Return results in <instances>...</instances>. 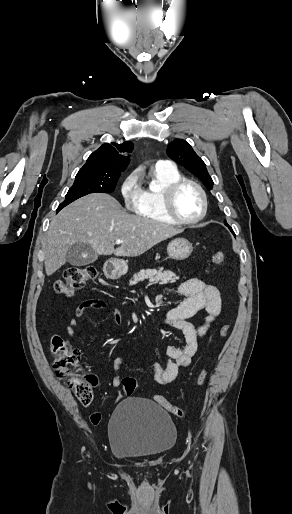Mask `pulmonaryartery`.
I'll return each mask as SVG.
<instances>
[{
    "mask_svg": "<svg viewBox=\"0 0 292 514\" xmlns=\"http://www.w3.org/2000/svg\"><path fill=\"white\" fill-rule=\"evenodd\" d=\"M157 169L159 172H175L177 171L173 164L170 162L168 158H165L163 161H159L157 164Z\"/></svg>",
    "mask_w": 292,
    "mask_h": 514,
    "instance_id": "e3ab8cb5",
    "label": "pulmonary artery"
}]
</instances>
